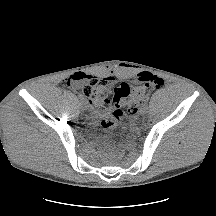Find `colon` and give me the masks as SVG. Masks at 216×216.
Instances as JSON below:
<instances>
[{"label": "colon", "mask_w": 216, "mask_h": 216, "mask_svg": "<svg viewBox=\"0 0 216 216\" xmlns=\"http://www.w3.org/2000/svg\"><path fill=\"white\" fill-rule=\"evenodd\" d=\"M140 81L141 85L133 90L127 84H122L112 90L108 79L86 76L76 82V87L81 95L103 113L101 127L105 130H115L123 117V106L127 107L130 114H135L139 105L148 97V90L151 87L159 88L163 85L161 78L149 73L141 74Z\"/></svg>", "instance_id": "5ec220e1"}]
</instances>
